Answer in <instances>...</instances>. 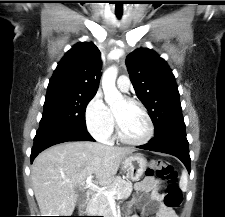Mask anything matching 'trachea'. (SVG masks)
I'll list each match as a JSON object with an SVG mask.
<instances>
[{
	"label": "trachea",
	"instance_id": "trachea-1",
	"mask_svg": "<svg viewBox=\"0 0 225 217\" xmlns=\"http://www.w3.org/2000/svg\"><path fill=\"white\" fill-rule=\"evenodd\" d=\"M116 16H117L118 18H121L122 13H116Z\"/></svg>",
	"mask_w": 225,
	"mask_h": 217
}]
</instances>
